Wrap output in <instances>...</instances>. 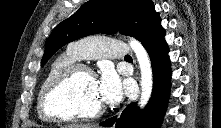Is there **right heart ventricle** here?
I'll list each match as a JSON object with an SVG mask.
<instances>
[{
  "instance_id": "e07e8e85",
  "label": "right heart ventricle",
  "mask_w": 221,
  "mask_h": 128,
  "mask_svg": "<svg viewBox=\"0 0 221 128\" xmlns=\"http://www.w3.org/2000/svg\"><path fill=\"white\" fill-rule=\"evenodd\" d=\"M78 61L79 58L68 48L66 51L58 54L50 63L37 94V102H36L37 112L39 116L42 117L43 119H47L41 114L40 105H39L40 94L43 88L52 78H54L57 74L63 71L66 67H68L71 64L77 63Z\"/></svg>"
}]
</instances>
